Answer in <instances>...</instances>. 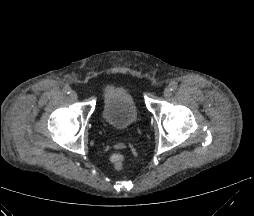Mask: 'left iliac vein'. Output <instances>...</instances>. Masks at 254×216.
<instances>
[{
    "label": "left iliac vein",
    "mask_w": 254,
    "mask_h": 216,
    "mask_svg": "<svg viewBox=\"0 0 254 216\" xmlns=\"http://www.w3.org/2000/svg\"><path fill=\"white\" fill-rule=\"evenodd\" d=\"M164 97H169L171 95V90L169 87H166L163 91Z\"/></svg>",
    "instance_id": "1"
}]
</instances>
